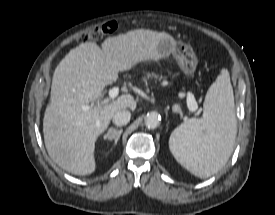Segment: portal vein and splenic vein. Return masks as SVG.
Segmentation results:
<instances>
[{
    "label": "portal vein and splenic vein",
    "instance_id": "portal-vein-and-splenic-vein-1",
    "mask_svg": "<svg viewBox=\"0 0 275 215\" xmlns=\"http://www.w3.org/2000/svg\"><path fill=\"white\" fill-rule=\"evenodd\" d=\"M119 93V88L118 87H113L112 89L109 90V99H106V101H109L110 99H114L115 97H117ZM187 106H188V109L190 111H196L197 108H198V105H197V102L194 98V95L191 94V93H188L187 95ZM90 107L89 106H82V109L84 111H87Z\"/></svg>",
    "mask_w": 275,
    "mask_h": 215
}]
</instances>
